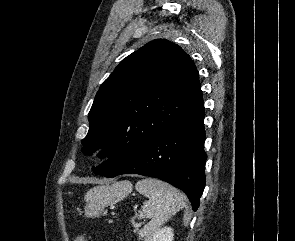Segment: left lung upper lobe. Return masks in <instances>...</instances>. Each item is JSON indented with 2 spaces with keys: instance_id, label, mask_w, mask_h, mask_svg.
I'll return each instance as SVG.
<instances>
[{
  "instance_id": "1",
  "label": "left lung upper lobe",
  "mask_w": 295,
  "mask_h": 241,
  "mask_svg": "<svg viewBox=\"0 0 295 241\" xmlns=\"http://www.w3.org/2000/svg\"><path fill=\"white\" fill-rule=\"evenodd\" d=\"M202 102L190 56L168 40L151 41L123 59L100 86L82 151L90 155L101 146L100 156L108 160L92 169L108 177Z\"/></svg>"
}]
</instances>
